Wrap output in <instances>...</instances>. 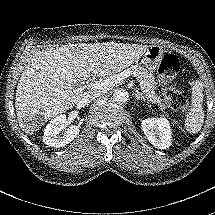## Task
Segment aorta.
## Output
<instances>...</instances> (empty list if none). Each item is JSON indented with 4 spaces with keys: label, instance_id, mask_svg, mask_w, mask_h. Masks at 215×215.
<instances>
[{
    "label": "aorta",
    "instance_id": "aorta-1",
    "mask_svg": "<svg viewBox=\"0 0 215 215\" xmlns=\"http://www.w3.org/2000/svg\"><path fill=\"white\" fill-rule=\"evenodd\" d=\"M113 98L118 103H124L128 101L129 93L124 89H119L114 92Z\"/></svg>",
    "mask_w": 215,
    "mask_h": 215
}]
</instances>
